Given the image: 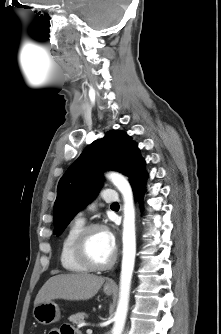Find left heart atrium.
<instances>
[{
    "mask_svg": "<svg viewBox=\"0 0 221 334\" xmlns=\"http://www.w3.org/2000/svg\"><path fill=\"white\" fill-rule=\"evenodd\" d=\"M106 233H107V237H108L109 243L115 248L116 239H115L114 234L112 232H110V231H106Z\"/></svg>",
    "mask_w": 221,
    "mask_h": 334,
    "instance_id": "39dd6f15",
    "label": "left heart atrium"
}]
</instances>
